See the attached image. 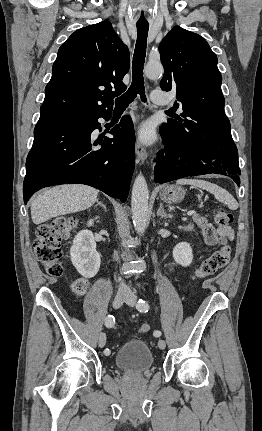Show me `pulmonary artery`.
I'll list each match as a JSON object with an SVG mask.
<instances>
[{
	"label": "pulmonary artery",
	"instance_id": "e3ab8cb5",
	"mask_svg": "<svg viewBox=\"0 0 262 431\" xmlns=\"http://www.w3.org/2000/svg\"><path fill=\"white\" fill-rule=\"evenodd\" d=\"M151 100L155 105H165L166 104V97L165 94L160 90H154L151 93Z\"/></svg>",
	"mask_w": 262,
	"mask_h": 431
}]
</instances>
